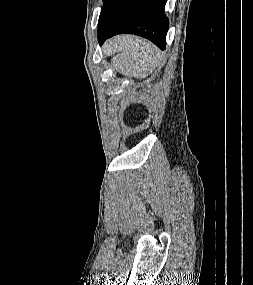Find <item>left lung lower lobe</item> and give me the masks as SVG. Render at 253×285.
I'll list each match as a JSON object with an SVG mask.
<instances>
[{
  "label": "left lung lower lobe",
  "mask_w": 253,
  "mask_h": 285,
  "mask_svg": "<svg viewBox=\"0 0 253 285\" xmlns=\"http://www.w3.org/2000/svg\"><path fill=\"white\" fill-rule=\"evenodd\" d=\"M166 0H106L98 21L102 44L116 34L142 36L164 50L169 21L164 15Z\"/></svg>",
  "instance_id": "0a47b994"
}]
</instances>
